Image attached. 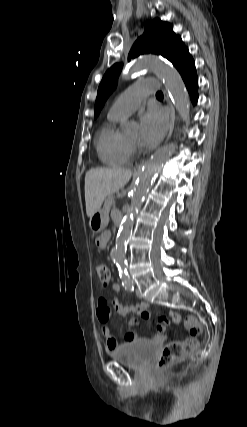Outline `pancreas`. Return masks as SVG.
I'll use <instances>...</instances> for the list:
<instances>
[{
    "label": "pancreas",
    "mask_w": 247,
    "mask_h": 427,
    "mask_svg": "<svg viewBox=\"0 0 247 427\" xmlns=\"http://www.w3.org/2000/svg\"><path fill=\"white\" fill-rule=\"evenodd\" d=\"M112 205H114V199H113V197L112 196H107V198L105 199L103 210L106 211V212H109Z\"/></svg>",
    "instance_id": "1"
}]
</instances>
